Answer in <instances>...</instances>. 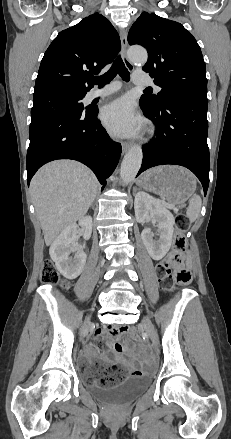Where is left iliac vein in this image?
Segmentation results:
<instances>
[{
  "mask_svg": "<svg viewBox=\"0 0 231 439\" xmlns=\"http://www.w3.org/2000/svg\"><path fill=\"white\" fill-rule=\"evenodd\" d=\"M142 324L145 328V330L147 331L153 345L155 347H157L158 345V337H157V332L155 330L154 325L152 324V322L150 321V319H148L147 317H145L142 321Z\"/></svg>",
  "mask_w": 231,
  "mask_h": 439,
  "instance_id": "left-iliac-vein-1",
  "label": "left iliac vein"
}]
</instances>
